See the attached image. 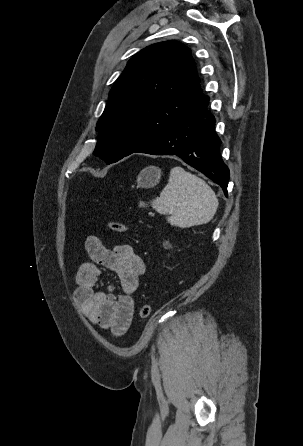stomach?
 <instances>
[{
    "label": "stomach",
    "mask_w": 303,
    "mask_h": 446,
    "mask_svg": "<svg viewBox=\"0 0 303 446\" xmlns=\"http://www.w3.org/2000/svg\"><path fill=\"white\" fill-rule=\"evenodd\" d=\"M161 169L156 166L144 168L137 177L138 187L151 188L156 186L161 179Z\"/></svg>",
    "instance_id": "obj_1"
}]
</instances>
